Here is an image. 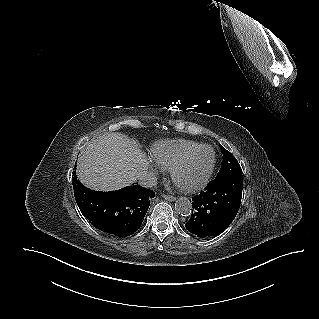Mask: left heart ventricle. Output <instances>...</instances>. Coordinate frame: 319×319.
<instances>
[{"label": "left heart ventricle", "instance_id": "1", "mask_svg": "<svg viewBox=\"0 0 319 319\" xmlns=\"http://www.w3.org/2000/svg\"><path fill=\"white\" fill-rule=\"evenodd\" d=\"M212 159L213 154L209 148L200 149L179 172V182L184 186L198 183L209 169Z\"/></svg>", "mask_w": 319, "mask_h": 319}]
</instances>
